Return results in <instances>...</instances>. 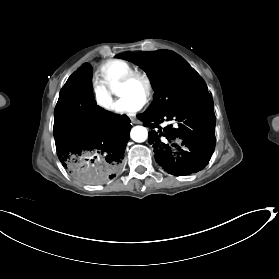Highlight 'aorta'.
Listing matches in <instances>:
<instances>
[{"mask_svg": "<svg viewBox=\"0 0 279 279\" xmlns=\"http://www.w3.org/2000/svg\"><path fill=\"white\" fill-rule=\"evenodd\" d=\"M130 136L135 142H144L148 137V131L146 127L135 126L131 129Z\"/></svg>", "mask_w": 279, "mask_h": 279, "instance_id": "obj_1", "label": "aorta"}]
</instances>
